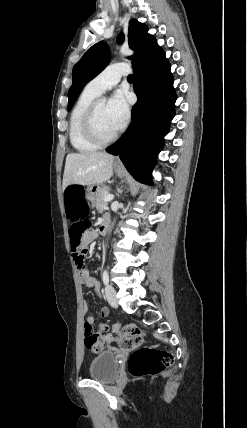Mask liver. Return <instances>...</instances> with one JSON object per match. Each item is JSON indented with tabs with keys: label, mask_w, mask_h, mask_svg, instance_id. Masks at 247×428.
I'll list each match as a JSON object with an SVG mask.
<instances>
[{
	"label": "liver",
	"mask_w": 247,
	"mask_h": 428,
	"mask_svg": "<svg viewBox=\"0 0 247 428\" xmlns=\"http://www.w3.org/2000/svg\"><path fill=\"white\" fill-rule=\"evenodd\" d=\"M114 156L105 152L70 153L66 157L63 189L69 185H98L113 174Z\"/></svg>",
	"instance_id": "6515ba94"
}]
</instances>
